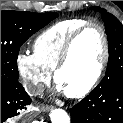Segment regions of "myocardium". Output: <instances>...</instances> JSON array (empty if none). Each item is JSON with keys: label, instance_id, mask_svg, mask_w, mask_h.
Listing matches in <instances>:
<instances>
[{"label": "myocardium", "instance_id": "f54148a6", "mask_svg": "<svg viewBox=\"0 0 123 123\" xmlns=\"http://www.w3.org/2000/svg\"><path fill=\"white\" fill-rule=\"evenodd\" d=\"M90 28H96L100 32V35L102 38V44H103L101 60H100L98 69H97L95 75L93 76V78L90 80V82L86 86H84L83 88H81L77 91L66 92V94L69 97L79 98V97H83V96L89 94L100 82V80L103 76V73L105 71L106 65L108 63V60H109V40H108V36H107V33H106L104 27L97 22H87L84 25H82L81 27H79L76 31H74L66 40V42L62 48L60 57L53 69L54 80L56 82H58L59 73L68 63L76 40L85 31H87Z\"/></svg>", "mask_w": 123, "mask_h": 123}]
</instances>
